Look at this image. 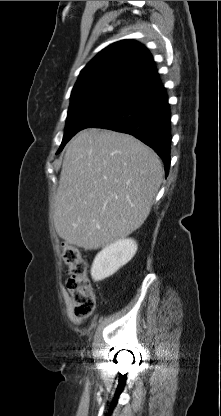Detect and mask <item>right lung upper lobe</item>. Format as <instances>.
Segmentation results:
<instances>
[{
	"instance_id": "right-lung-upper-lobe-1",
	"label": "right lung upper lobe",
	"mask_w": 221,
	"mask_h": 416,
	"mask_svg": "<svg viewBox=\"0 0 221 416\" xmlns=\"http://www.w3.org/2000/svg\"><path fill=\"white\" fill-rule=\"evenodd\" d=\"M158 83V73L147 48L132 40H122L103 49L82 69L71 100L97 92L130 95Z\"/></svg>"
}]
</instances>
